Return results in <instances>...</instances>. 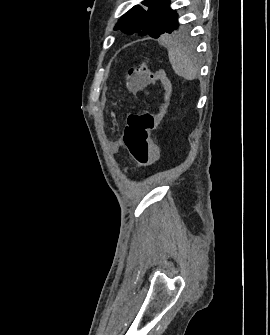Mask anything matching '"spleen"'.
<instances>
[{"label":"spleen","mask_w":270,"mask_h":335,"mask_svg":"<svg viewBox=\"0 0 270 335\" xmlns=\"http://www.w3.org/2000/svg\"><path fill=\"white\" fill-rule=\"evenodd\" d=\"M169 62L177 76H181L184 80H195L198 74V68L191 58H189L188 52H186L182 44L173 42L168 52Z\"/></svg>","instance_id":"obj_1"}]
</instances>
